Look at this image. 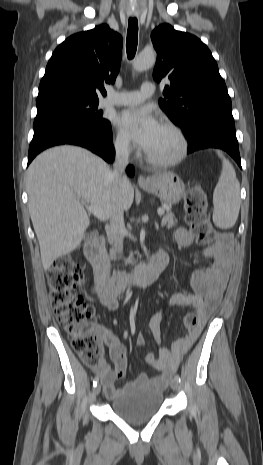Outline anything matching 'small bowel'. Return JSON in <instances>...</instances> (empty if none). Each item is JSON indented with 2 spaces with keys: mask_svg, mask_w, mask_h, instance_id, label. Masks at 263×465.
<instances>
[{
  "mask_svg": "<svg viewBox=\"0 0 263 465\" xmlns=\"http://www.w3.org/2000/svg\"><path fill=\"white\" fill-rule=\"evenodd\" d=\"M179 245L188 246L192 243L191 233L185 228H179L175 234ZM163 251H160L161 253ZM158 253V254H159ZM203 255L213 260L212 264L205 269H198L190 275V285L194 290V295L174 294L152 315L149 321V328L157 342L161 340L160 324L163 313L169 307H191L194 308L200 318L198 327L188 333L187 336L178 339L170 349L161 348L159 355L148 353L146 355L147 364L159 372L156 377H148L141 374L132 382L127 383L123 388H116L115 381L122 379L127 368V354L123 344L109 331L99 328L98 331L109 348V355L114 364V369L103 364L96 369L100 376L104 392L107 398L114 399L126 391L136 387H150L156 390H163L171 377L177 370L182 357L192 347L199 334H203L205 322L212 315L219 305L230 271L229 241L223 238L217 244L204 248ZM100 302L103 306L117 310L119 307L116 297L100 294ZM138 346L145 345V338L139 334L136 337Z\"/></svg>",
  "mask_w": 263,
  "mask_h": 465,
  "instance_id": "small-bowel-1",
  "label": "small bowel"
}]
</instances>
